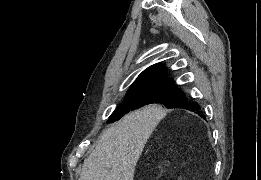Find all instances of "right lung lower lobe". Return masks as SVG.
Wrapping results in <instances>:
<instances>
[{"label":"right lung lower lobe","mask_w":261,"mask_h":180,"mask_svg":"<svg viewBox=\"0 0 261 180\" xmlns=\"http://www.w3.org/2000/svg\"><path fill=\"white\" fill-rule=\"evenodd\" d=\"M175 108H184L193 111L200 116H203V113L200 110V106L195 102H188L187 99L176 105Z\"/></svg>","instance_id":"obj_1"}]
</instances>
